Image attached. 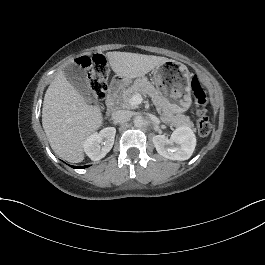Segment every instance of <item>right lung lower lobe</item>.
Masks as SVG:
<instances>
[{"mask_svg":"<svg viewBox=\"0 0 265 265\" xmlns=\"http://www.w3.org/2000/svg\"><path fill=\"white\" fill-rule=\"evenodd\" d=\"M87 166H82V167H78V166H74L73 168H86Z\"/></svg>","mask_w":265,"mask_h":265,"instance_id":"obj_1","label":"right lung lower lobe"}]
</instances>
